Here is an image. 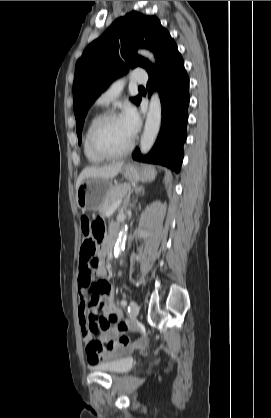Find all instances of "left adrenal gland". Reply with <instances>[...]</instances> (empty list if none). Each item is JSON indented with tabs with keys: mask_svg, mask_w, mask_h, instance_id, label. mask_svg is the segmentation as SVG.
Instances as JSON below:
<instances>
[{
	"mask_svg": "<svg viewBox=\"0 0 271 418\" xmlns=\"http://www.w3.org/2000/svg\"><path fill=\"white\" fill-rule=\"evenodd\" d=\"M133 192H135L136 194H139V193H142V195L144 194V186L143 185H141V186H136V187H134L132 190H131V192H129V194L127 195V197H126V199H125V201H124V203H123V205L126 207V206H128V204L130 203V196H131V194L133 193Z\"/></svg>",
	"mask_w": 271,
	"mask_h": 418,
	"instance_id": "obj_1",
	"label": "left adrenal gland"
}]
</instances>
